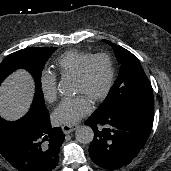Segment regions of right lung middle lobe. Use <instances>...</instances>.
Here are the masks:
<instances>
[{
  "instance_id": "obj_1",
  "label": "right lung middle lobe",
  "mask_w": 171,
  "mask_h": 171,
  "mask_svg": "<svg viewBox=\"0 0 171 171\" xmlns=\"http://www.w3.org/2000/svg\"><path fill=\"white\" fill-rule=\"evenodd\" d=\"M55 48L33 47L25 48L8 55L0 64V84L14 70L18 68L27 69L36 82V94L32 108L39 113H46L48 110L44 104V97L41 90V73L46 61ZM9 124L0 117V146L6 141L2 131Z\"/></svg>"
}]
</instances>
